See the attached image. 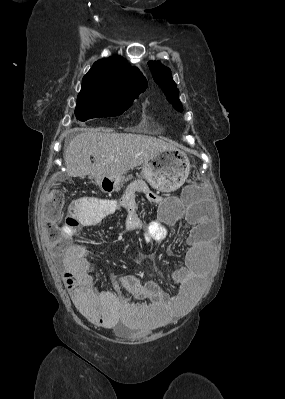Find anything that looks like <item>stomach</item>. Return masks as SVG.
<instances>
[{
    "label": "stomach",
    "mask_w": 285,
    "mask_h": 399,
    "mask_svg": "<svg viewBox=\"0 0 285 399\" xmlns=\"http://www.w3.org/2000/svg\"><path fill=\"white\" fill-rule=\"evenodd\" d=\"M190 173V162L186 153L174 148L156 153L142 166V177L155 189L171 192L183 185ZM126 181L124 177L105 176L96 184L105 193L118 191Z\"/></svg>",
    "instance_id": "obj_1"
}]
</instances>
